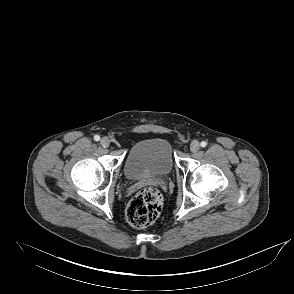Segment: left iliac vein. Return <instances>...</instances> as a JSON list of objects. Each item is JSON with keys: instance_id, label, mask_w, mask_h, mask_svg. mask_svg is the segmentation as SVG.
<instances>
[{"instance_id": "left-iliac-vein-1", "label": "left iliac vein", "mask_w": 294, "mask_h": 294, "mask_svg": "<svg viewBox=\"0 0 294 294\" xmlns=\"http://www.w3.org/2000/svg\"><path fill=\"white\" fill-rule=\"evenodd\" d=\"M199 149H200V144H199V142H198L197 140L192 141L191 144H190V150H191L192 152L195 153V152H197Z\"/></svg>"}]
</instances>
